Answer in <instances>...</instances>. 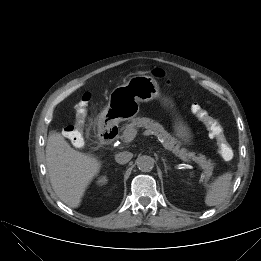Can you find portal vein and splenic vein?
I'll return each instance as SVG.
<instances>
[{"label":"portal vein and splenic vein","instance_id":"18ae733b","mask_svg":"<svg viewBox=\"0 0 261 261\" xmlns=\"http://www.w3.org/2000/svg\"><path fill=\"white\" fill-rule=\"evenodd\" d=\"M137 135V130L133 129V130H130L126 133L125 137H124V140L126 143H129L131 142ZM176 157H178L179 159H181L182 161L186 162V163H190L192 164L193 161L186 158L185 156L183 155H180V154H177V153H174Z\"/></svg>","mask_w":261,"mask_h":261}]
</instances>
